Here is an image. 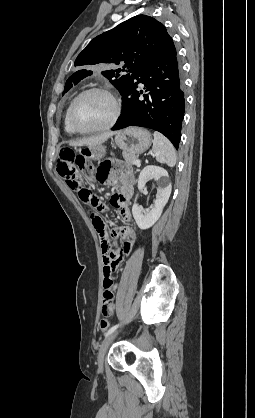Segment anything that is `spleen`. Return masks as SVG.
I'll return each mask as SVG.
<instances>
[{
	"label": "spleen",
	"instance_id": "1",
	"mask_svg": "<svg viewBox=\"0 0 255 418\" xmlns=\"http://www.w3.org/2000/svg\"><path fill=\"white\" fill-rule=\"evenodd\" d=\"M153 152L159 163L166 164L169 167L176 165V152L172 143L161 133L154 132Z\"/></svg>",
	"mask_w": 255,
	"mask_h": 418
}]
</instances>
